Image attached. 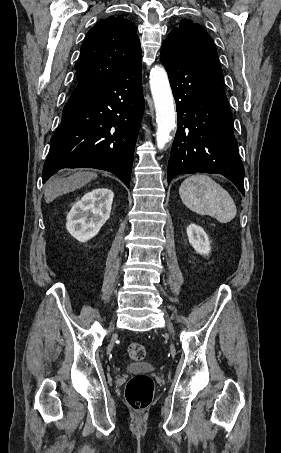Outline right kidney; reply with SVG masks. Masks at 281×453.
<instances>
[{"instance_id": "right-kidney-1", "label": "right kidney", "mask_w": 281, "mask_h": 453, "mask_svg": "<svg viewBox=\"0 0 281 453\" xmlns=\"http://www.w3.org/2000/svg\"><path fill=\"white\" fill-rule=\"evenodd\" d=\"M113 192L110 188H93L73 204L66 218V229L80 243H86L99 233L110 216Z\"/></svg>"}]
</instances>
